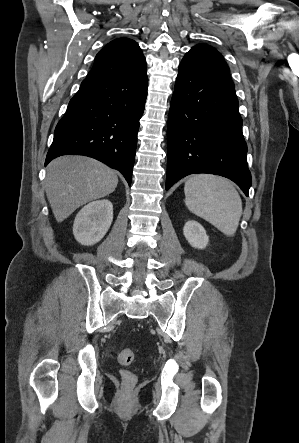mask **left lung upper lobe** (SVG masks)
I'll use <instances>...</instances> for the list:
<instances>
[{
  "instance_id": "obj_1",
  "label": "left lung upper lobe",
  "mask_w": 299,
  "mask_h": 443,
  "mask_svg": "<svg viewBox=\"0 0 299 443\" xmlns=\"http://www.w3.org/2000/svg\"><path fill=\"white\" fill-rule=\"evenodd\" d=\"M197 74L222 81L234 87L229 67L223 56L214 48L207 45H196L189 50L180 63Z\"/></svg>"
}]
</instances>
